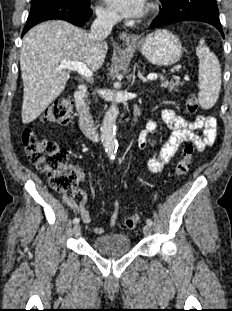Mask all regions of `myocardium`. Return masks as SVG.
<instances>
[{"label": "myocardium", "instance_id": "myocardium-1", "mask_svg": "<svg viewBox=\"0 0 232 311\" xmlns=\"http://www.w3.org/2000/svg\"><path fill=\"white\" fill-rule=\"evenodd\" d=\"M154 8H155V5H154V4H151V5L149 6V12H151Z\"/></svg>", "mask_w": 232, "mask_h": 311}]
</instances>
